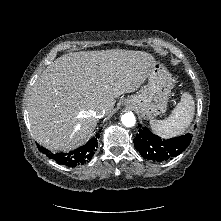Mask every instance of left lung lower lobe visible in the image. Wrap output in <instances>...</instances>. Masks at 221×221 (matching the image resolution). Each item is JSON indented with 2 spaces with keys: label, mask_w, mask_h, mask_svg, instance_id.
Masks as SVG:
<instances>
[{
  "label": "left lung lower lobe",
  "mask_w": 221,
  "mask_h": 221,
  "mask_svg": "<svg viewBox=\"0 0 221 221\" xmlns=\"http://www.w3.org/2000/svg\"><path fill=\"white\" fill-rule=\"evenodd\" d=\"M192 135L190 133L171 138L161 139L153 134L148 128L141 127L134 138V146L145 159L153 161H165L172 159L182 153L190 144Z\"/></svg>",
  "instance_id": "1"
}]
</instances>
